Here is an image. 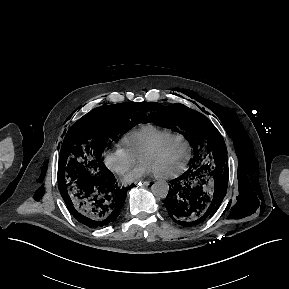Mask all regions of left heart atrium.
Masks as SVG:
<instances>
[{
    "label": "left heart atrium",
    "mask_w": 289,
    "mask_h": 289,
    "mask_svg": "<svg viewBox=\"0 0 289 289\" xmlns=\"http://www.w3.org/2000/svg\"><path fill=\"white\" fill-rule=\"evenodd\" d=\"M149 174H155L154 170L147 163L141 162L136 168L130 171L124 179L125 181L133 182Z\"/></svg>",
    "instance_id": "39dd6f15"
}]
</instances>
